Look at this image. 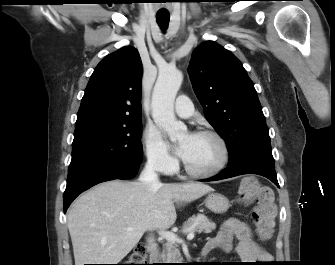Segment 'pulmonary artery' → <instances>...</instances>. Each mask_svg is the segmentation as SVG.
<instances>
[{
  "mask_svg": "<svg viewBox=\"0 0 335 265\" xmlns=\"http://www.w3.org/2000/svg\"><path fill=\"white\" fill-rule=\"evenodd\" d=\"M175 112L184 118L190 117L193 114V105L187 96L181 95L176 99Z\"/></svg>",
  "mask_w": 335,
  "mask_h": 265,
  "instance_id": "pulmonary-artery-1",
  "label": "pulmonary artery"
}]
</instances>
